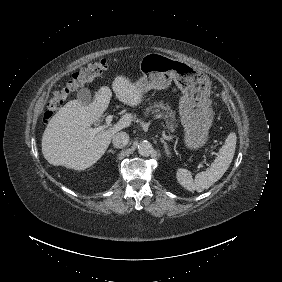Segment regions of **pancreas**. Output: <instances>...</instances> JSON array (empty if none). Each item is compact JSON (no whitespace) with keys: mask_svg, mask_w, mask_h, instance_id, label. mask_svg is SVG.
Instances as JSON below:
<instances>
[{"mask_svg":"<svg viewBox=\"0 0 282 282\" xmlns=\"http://www.w3.org/2000/svg\"><path fill=\"white\" fill-rule=\"evenodd\" d=\"M149 113L153 114L156 118L164 119L166 124L165 128L168 129V132H174L175 128L178 126L175 118L176 112L171 110L168 103H164L163 101L155 102L145 109V116H148Z\"/></svg>","mask_w":282,"mask_h":282,"instance_id":"obj_1","label":"pancreas"}]
</instances>
